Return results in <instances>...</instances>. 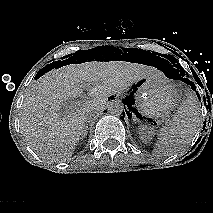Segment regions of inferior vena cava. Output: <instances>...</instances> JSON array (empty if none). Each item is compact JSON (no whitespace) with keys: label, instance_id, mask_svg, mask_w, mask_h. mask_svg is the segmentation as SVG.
Returning a JSON list of instances; mask_svg holds the SVG:
<instances>
[{"label":"inferior vena cava","instance_id":"inferior-vena-cava-1","mask_svg":"<svg viewBox=\"0 0 213 213\" xmlns=\"http://www.w3.org/2000/svg\"><path fill=\"white\" fill-rule=\"evenodd\" d=\"M95 112L96 111H91L86 115V121L87 122L90 121L93 118Z\"/></svg>","mask_w":213,"mask_h":213}]
</instances>
